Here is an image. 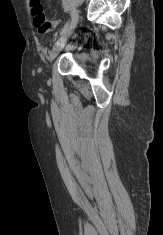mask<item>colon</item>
<instances>
[{
    "label": "colon",
    "instance_id": "obj_1",
    "mask_svg": "<svg viewBox=\"0 0 163 235\" xmlns=\"http://www.w3.org/2000/svg\"><path fill=\"white\" fill-rule=\"evenodd\" d=\"M30 5L33 16V23L38 32L46 33L57 28L59 21L49 20L46 17L41 0H31Z\"/></svg>",
    "mask_w": 163,
    "mask_h": 235
}]
</instances>
